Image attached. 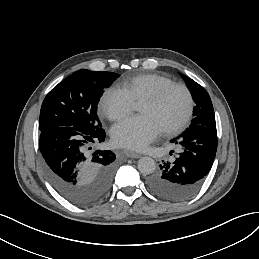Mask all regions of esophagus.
<instances>
[{
	"instance_id": "34e87169",
	"label": "esophagus",
	"mask_w": 259,
	"mask_h": 259,
	"mask_svg": "<svg viewBox=\"0 0 259 259\" xmlns=\"http://www.w3.org/2000/svg\"><path fill=\"white\" fill-rule=\"evenodd\" d=\"M126 156L129 158H140L141 155L132 151H126Z\"/></svg>"
}]
</instances>
